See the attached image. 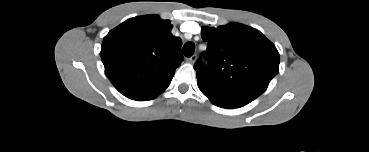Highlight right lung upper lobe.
I'll use <instances>...</instances> for the list:
<instances>
[{"mask_svg":"<svg viewBox=\"0 0 369 152\" xmlns=\"http://www.w3.org/2000/svg\"><path fill=\"white\" fill-rule=\"evenodd\" d=\"M169 20L145 15L126 20L103 39L105 73L124 96L152 100L171 83L183 61L182 41L171 34Z\"/></svg>","mask_w":369,"mask_h":152,"instance_id":"obj_1","label":"right lung upper lobe"}]
</instances>
